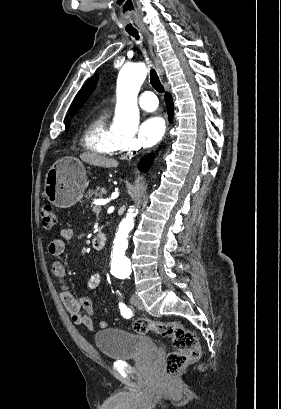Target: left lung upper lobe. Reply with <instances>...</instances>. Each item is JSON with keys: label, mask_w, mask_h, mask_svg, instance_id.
Returning <instances> with one entry per match:
<instances>
[{"label": "left lung upper lobe", "mask_w": 281, "mask_h": 409, "mask_svg": "<svg viewBox=\"0 0 281 409\" xmlns=\"http://www.w3.org/2000/svg\"><path fill=\"white\" fill-rule=\"evenodd\" d=\"M97 79H98V75H94L93 77H91L85 83V85L80 89V91L77 93L70 107V114L72 116L80 109V107L85 103V101L91 95V93L95 89Z\"/></svg>", "instance_id": "1"}]
</instances>
